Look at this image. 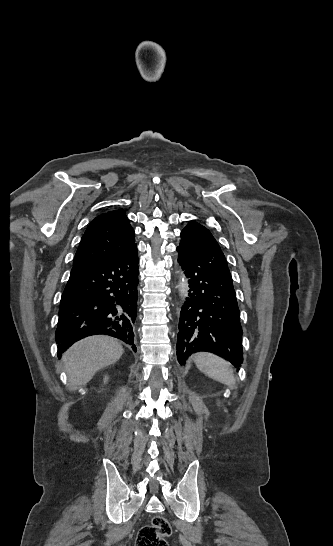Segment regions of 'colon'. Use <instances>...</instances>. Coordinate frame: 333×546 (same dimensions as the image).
Returning <instances> with one entry per match:
<instances>
[{"instance_id":"5ec220e1","label":"colon","mask_w":333,"mask_h":546,"mask_svg":"<svg viewBox=\"0 0 333 546\" xmlns=\"http://www.w3.org/2000/svg\"><path fill=\"white\" fill-rule=\"evenodd\" d=\"M171 534V526L163 516H155L151 525L142 527L136 538V546H167L166 537Z\"/></svg>"}]
</instances>
